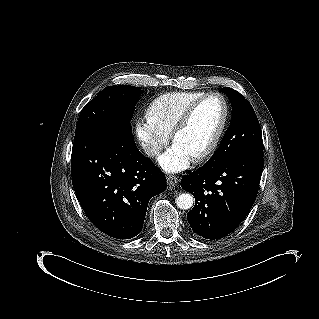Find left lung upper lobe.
I'll return each instance as SVG.
<instances>
[{
	"label": "left lung upper lobe",
	"mask_w": 319,
	"mask_h": 319,
	"mask_svg": "<svg viewBox=\"0 0 319 319\" xmlns=\"http://www.w3.org/2000/svg\"><path fill=\"white\" fill-rule=\"evenodd\" d=\"M232 105V118L219 148L208 163L225 162L233 157L255 151H263L260 125L251 104L237 91L224 87Z\"/></svg>",
	"instance_id": "1"
}]
</instances>
